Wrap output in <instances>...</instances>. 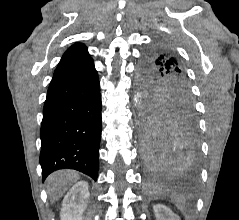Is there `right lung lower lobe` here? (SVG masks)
Masks as SVG:
<instances>
[{
  "instance_id": "right-lung-lower-lobe-1",
  "label": "right lung lower lobe",
  "mask_w": 239,
  "mask_h": 220,
  "mask_svg": "<svg viewBox=\"0 0 239 220\" xmlns=\"http://www.w3.org/2000/svg\"><path fill=\"white\" fill-rule=\"evenodd\" d=\"M40 137L43 180L64 168L97 179L101 96L93 60L53 75L43 108Z\"/></svg>"
}]
</instances>
